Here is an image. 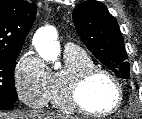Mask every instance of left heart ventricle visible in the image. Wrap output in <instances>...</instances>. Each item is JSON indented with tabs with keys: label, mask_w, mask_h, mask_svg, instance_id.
<instances>
[{
	"label": "left heart ventricle",
	"mask_w": 142,
	"mask_h": 119,
	"mask_svg": "<svg viewBox=\"0 0 142 119\" xmlns=\"http://www.w3.org/2000/svg\"><path fill=\"white\" fill-rule=\"evenodd\" d=\"M117 90L113 83L106 77H94L82 92V101L93 111H107L117 101Z\"/></svg>",
	"instance_id": "1"
}]
</instances>
